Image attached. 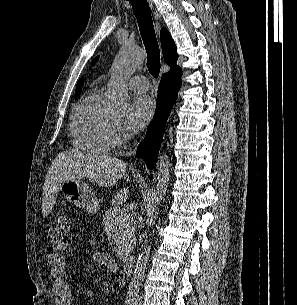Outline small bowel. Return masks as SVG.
<instances>
[{
	"mask_svg": "<svg viewBox=\"0 0 297 305\" xmlns=\"http://www.w3.org/2000/svg\"><path fill=\"white\" fill-rule=\"evenodd\" d=\"M93 260L104 265L112 272L117 270L114 260L106 253H96L93 256ZM47 263L52 277V290L59 305H76L66 278L65 258L59 254H52L48 256ZM94 294V290H89L87 293L89 298L93 297Z\"/></svg>",
	"mask_w": 297,
	"mask_h": 305,
	"instance_id": "small-bowel-1",
	"label": "small bowel"
}]
</instances>
